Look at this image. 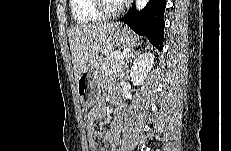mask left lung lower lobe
I'll return each instance as SVG.
<instances>
[{
    "label": "left lung lower lobe",
    "instance_id": "0a47b994",
    "mask_svg": "<svg viewBox=\"0 0 231 151\" xmlns=\"http://www.w3.org/2000/svg\"><path fill=\"white\" fill-rule=\"evenodd\" d=\"M166 0H150L143 10L137 11L135 5L121 18L138 35L146 36L158 50L163 49V16Z\"/></svg>",
    "mask_w": 231,
    "mask_h": 151
}]
</instances>
